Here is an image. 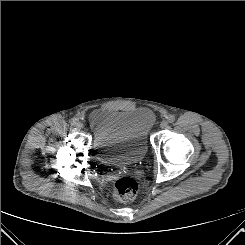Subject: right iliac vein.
I'll use <instances>...</instances> for the list:
<instances>
[{
    "label": "right iliac vein",
    "instance_id": "63e3f726",
    "mask_svg": "<svg viewBox=\"0 0 245 245\" xmlns=\"http://www.w3.org/2000/svg\"><path fill=\"white\" fill-rule=\"evenodd\" d=\"M75 125L78 129H82L84 127L83 123L80 121H78Z\"/></svg>",
    "mask_w": 245,
    "mask_h": 245
}]
</instances>
